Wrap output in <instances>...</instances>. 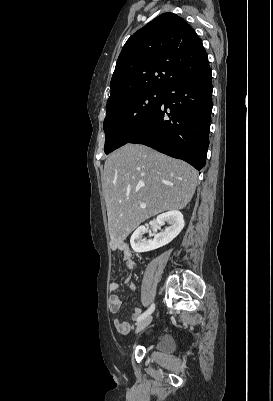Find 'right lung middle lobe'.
Segmentation results:
<instances>
[{
	"label": "right lung middle lobe",
	"instance_id": "right-lung-middle-lobe-1",
	"mask_svg": "<svg viewBox=\"0 0 273 401\" xmlns=\"http://www.w3.org/2000/svg\"><path fill=\"white\" fill-rule=\"evenodd\" d=\"M163 97L161 90L142 91L107 106L103 126L106 134L105 153L128 143L152 113Z\"/></svg>",
	"mask_w": 273,
	"mask_h": 401
}]
</instances>
